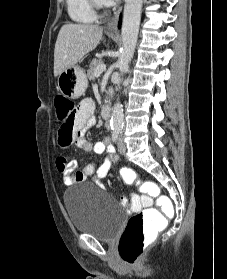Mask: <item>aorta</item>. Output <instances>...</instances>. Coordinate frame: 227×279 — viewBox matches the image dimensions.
I'll return each instance as SVG.
<instances>
[{
  "mask_svg": "<svg viewBox=\"0 0 227 279\" xmlns=\"http://www.w3.org/2000/svg\"><path fill=\"white\" fill-rule=\"evenodd\" d=\"M142 2L143 0H125L121 29L122 50L117 63L121 75L128 71L129 63L135 51ZM110 124L114 130H120L123 126V109L120 102L115 103L113 106Z\"/></svg>",
  "mask_w": 227,
  "mask_h": 279,
  "instance_id": "1",
  "label": "aorta"
}]
</instances>
